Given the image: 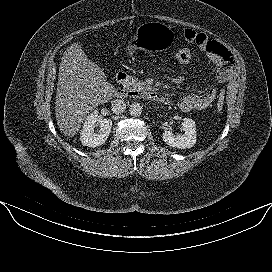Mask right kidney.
Masks as SVG:
<instances>
[{
	"mask_svg": "<svg viewBox=\"0 0 272 272\" xmlns=\"http://www.w3.org/2000/svg\"><path fill=\"white\" fill-rule=\"evenodd\" d=\"M96 127L100 129L95 131ZM111 127L112 121L109 119H98V113L95 110L87 116L84 122L80 136L81 143L92 148L102 145L108 138Z\"/></svg>",
	"mask_w": 272,
	"mask_h": 272,
	"instance_id": "ca27d5eb",
	"label": "right kidney"
}]
</instances>
